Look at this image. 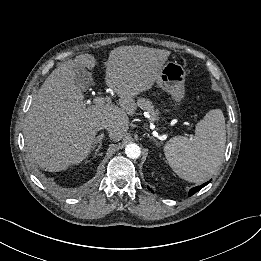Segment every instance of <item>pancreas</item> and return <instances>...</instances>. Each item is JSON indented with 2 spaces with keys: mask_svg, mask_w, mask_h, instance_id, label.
I'll list each match as a JSON object with an SVG mask.
<instances>
[{
  "mask_svg": "<svg viewBox=\"0 0 261 261\" xmlns=\"http://www.w3.org/2000/svg\"><path fill=\"white\" fill-rule=\"evenodd\" d=\"M137 106H139L142 110H146L151 115L152 121L158 120V110L155 109L153 103L146 98L139 97L137 99Z\"/></svg>",
  "mask_w": 261,
  "mask_h": 261,
  "instance_id": "obj_1",
  "label": "pancreas"
}]
</instances>
